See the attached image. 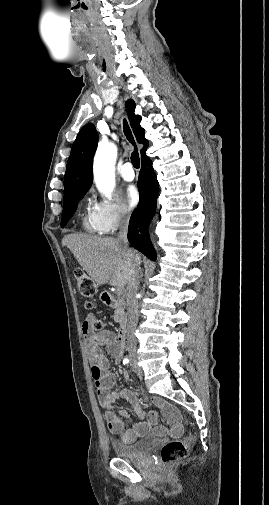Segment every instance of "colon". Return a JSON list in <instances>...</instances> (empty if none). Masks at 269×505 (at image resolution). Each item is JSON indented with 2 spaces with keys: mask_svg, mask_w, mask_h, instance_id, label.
Masks as SVG:
<instances>
[{
  "mask_svg": "<svg viewBox=\"0 0 269 505\" xmlns=\"http://www.w3.org/2000/svg\"><path fill=\"white\" fill-rule=\"evenodd\" d=\"M75 274L80 294L89 300L86 306L88 308L93 307L91 300L94 298L97 291L95 282L80 269L76 270ZM87 328L90 332L97 333L103 329V323L100 320L95 319L87 323ZM191 442L192 438L167 442L161 448L162 461L165 464H171L184 459L188 454V447Z\"/></svg>",
  "mask_w": 269,
  "mask_h": 505,
  "instance_id": "obj_1",
  "label": "colon"
}]
</instances>
